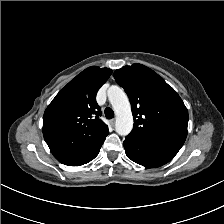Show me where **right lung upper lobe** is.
<instances>
[{
	"mask_svg": "<svg viewBox=\"0 0 224 224\" xmlns=\"http://www.w3.org/2000/svg\"><path fill=\"white\" fill-rule=\"evenodd\" d=\"M112 70L92 66L72 79L52 100L43 116V128L54 127L79 135L97 136L108 132L99 118L96 94Z\"/></svg>",
	"mask_w": 224,
	"mask_h": 224,
	"instance_id": "1",
	"label": "right lung upper lobe"
}]
</instances>
